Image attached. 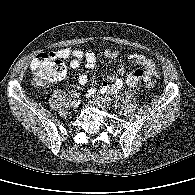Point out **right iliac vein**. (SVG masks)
<instances>
[{
  "label": "right iliac vein",
  "instance_id": "1",
  "mask_svg": "<svg viewBox=\"0 0 195 195\" xmlns=\"http://www.w3.org/2000/svg\"><path fill=\"white\" fill-rule=\"evenodd\" d=\"M71 105H72L73 107H78V106L80 105V100L77 99V98H74V99L72 100V102H71Z\"/></svg>",
  "mask_w": 195,
  "mask_h": 195
}]
</instances>
